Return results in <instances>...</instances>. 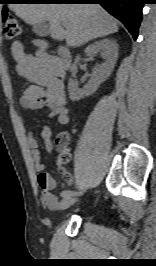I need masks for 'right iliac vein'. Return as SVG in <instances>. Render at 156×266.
Listing matches in <instances>:
<instances>
[{"mask_svg": "<svg viewBox=\"0 0 156 266\" xmlns=\"http://www.w3.org/2000/svg\"><path fill=\"white\" fill-rule=\"evenodd\" d=\"M76 198L75 197H66L64 198L61 203L59 208L61 210L67 209L68 207H70L71 205H73L76 202Z\"/></svg>", "mask_w": 156, "mask_h": 266, "instance_id": "63e3f726", "label": "right iliac vein"}]
</instances>
